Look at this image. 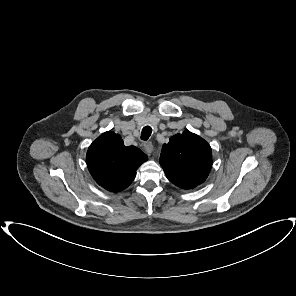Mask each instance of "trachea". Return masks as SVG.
<instances>
[{
	"mask_svg": "<svg viewBox=\"0 0 296 296\" xmlns=\"http://www.w3.org/2000/svg\"><path fill=\"white\" fill-rule=\"evenodd\" d=\"M151 133H152V128L150 126H145L142 129L141 139L144 140V141L148 140Z\"/></svg>",
	"mask_w": 296,
	"mask_h": 296,
	"instance_id": "trachea-1",
	"label": "trachea"
}]
</instances>
